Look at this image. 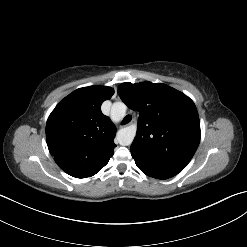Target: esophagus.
<instances>
[{
	"label": "esophagus",
	"instance_id": "esophagus-1",
	"mask_svg": "<svg viewBox=\"0 0 247 247\" xmlns=\"http://www.w3.org/2000/svg\"><path fill=\"white\" fill-rule=\"evenodd\" d=\"M132 123H133V121H131V122L128 124V126L132 125Z\"/></svg>",
	"mask_w": 247,
	"mask_h": 247
}]
</instances>
